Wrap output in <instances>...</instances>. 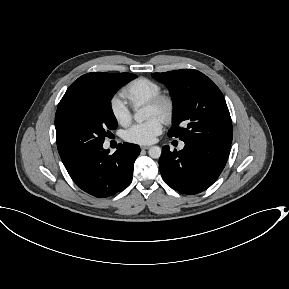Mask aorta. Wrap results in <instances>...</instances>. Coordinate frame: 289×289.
I'll return each mask as SVG.
<instances>
[{
    "label": "aorta",
    "instance_id": "1",
    "mask_svg": "<svg viewBox=\"0 0 289 289\" xmlns=\"http://www.w3.org/2000/svg\"><path fill=\"white\" fill-rule=\"evenodd\" d=\"M147 118V114L145 112V110L142 108V109H139L135 114H134V119L136 122L138 123H141L143 122L144 120H146ZM149 153V156L153 159H158L160 158L161 156V148L158 147V146H153L149 149L148 151Z\"/></svg>",
    "mask_w": 289,
    "mask_h": 289
}]
</instances>
